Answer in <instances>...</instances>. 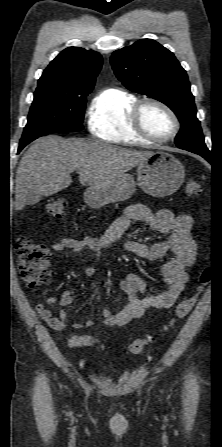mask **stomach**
<instances>
[{"mask_svg": "<svg viewBox=\"0 0 222 447\" xmlns=\"http://www.w3.org/2000/svg\"><path fill=\"white\" fill-rule=\"evenodd\" d=\"M185 177L183 165L166 152L153 154L138 164V186L148 195L165 197L179 189ZM136 189L132 175H123L101 185L90 186L84 192L85 202L92 208H100L110 202L129 199Z\"/></svg>", "mask_w": 222, "mask_h": 447, "instance_id": "1", "label": "stomach"}]
</instances>
